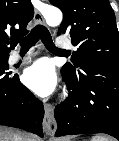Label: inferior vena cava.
I'll return each instance as SVG.
<instances>
[{
  "instance_id": "obj_1",
  "label": "inferior vena cava",
  "mask_w": 119,
  "mask_h": 141,
  "mask_svg": "<svg viewBox=\"0 0 119 141\" xmlns=\"http://www.w3.org/2000/svg\"><path fill=\"white\" fill-rule=\"evenodd\" d=\"M15 141H25V139H23V138L20 137L19 135H16Z\"/></svg>"
}]
</instances>
